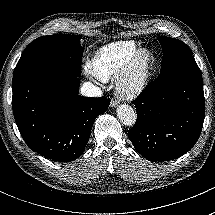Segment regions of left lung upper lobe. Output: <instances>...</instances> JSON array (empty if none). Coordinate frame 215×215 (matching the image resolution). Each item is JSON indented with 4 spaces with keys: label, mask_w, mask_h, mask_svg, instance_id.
<instances>
[{
    "label": "left lung upper lobe",
    "mask_w": 215,
    "mask_h": 215,
    "mask_svg": "<svg viewBox=\"0 0 215 215\" xmlns=\"http://www.w3.org/2000/svg\"><path fill=\"white\" fill-rule=\"evenodd\" d=\"M164 56L160 74L189 62H196L192 56L191 49L182 41L166 36L158 37Z\"/></svg>",
    "instance_id": "1"
}]
</instances>
